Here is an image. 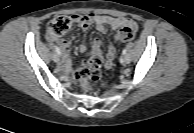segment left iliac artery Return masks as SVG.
Masks as SVG:
<instances>
[{
  "label": "left iliac artery",
  "mask_w": 194,
  "mask_h": 133,
  "mask_svg": "<svg viewBox=\"0 0 194 133\" xmlns=\"http://www.w3.org/2000/svg\"><path fill=\"white\" fill-rule=\"evenodd\" d=\"M126 52H127V50L126 49H123L122 54L123 55H126Z\"/></svg>",
  "instance_id": "obj_1"
}]
</instances>
